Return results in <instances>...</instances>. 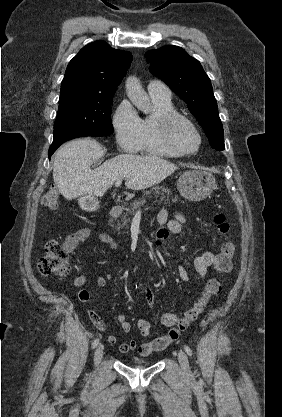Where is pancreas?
I'll list each match as a JSON object with an SVG mask.
<instances>
[{
  "instance_id": "pancreas-1",
  "label": "pancreas",
  "mask_w": 282,
  "mask_h": 417,
  "mask_svg": "<svg viewBox=\"0 0 282 417\" xmlns=\"http://www.w3.org/2000/svg\"><path fill=\"white\" fill-rule=\"evenodd\" d=\"M152 192H154V194H162L160 202L166 198L165 204H167L168 200H171V202H176L178 198V196H170V194H172L170 188H164V186H159V184H156V186H151V190H145L142 198L131 202L129 209H125L126 213H124V215H120L121 221H117V231H121V229H128V223L131 221V217H129V215H135L136 209H139V206H143V204H145V196H147V194H152ZM164 194H167V196H164ZM110 223H112V221H110Z\"/></svg>"
}]
</instances>
